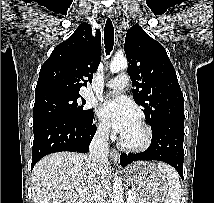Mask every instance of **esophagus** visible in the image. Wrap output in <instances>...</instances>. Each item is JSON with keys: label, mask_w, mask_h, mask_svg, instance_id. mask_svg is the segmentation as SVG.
I'll list each match as a JSON object with an SVG mask.
<instances>
[{"label": "esophagus", "mask_w": 214, "mask_h": 203, "mask_svg": "<svg viewBox=\"0 0 214 203\" xmlns=\"http://www.w3.org/2000/svg\"><path fill=\"white\" fill-rule=\"evenodd\" d=\"M106 13H107V16H108V17L113 18L114 13H113V10H112L111 8H108V9L106 10ZM110 155H111L112 161H113L115 164H117L118 161H119V156H120L119 152H118L117 150H115V149H112L111 152H110Z\"/></svg>", "instance_id": "34e87169"}]
</instances>
